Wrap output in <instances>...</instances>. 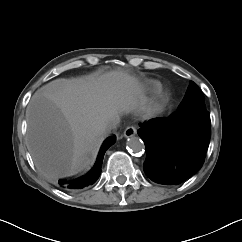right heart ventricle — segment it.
Segmentation results:
<instances>
[{"label":"right heart ventricle","instance_id":"obj_1","mask_svg":"<svg viewBox=\"0 0 242 242\" xmlns=\"http://www.w3.org/2000/svg\"><path fill=\"white\" fill-rule=\"evenodd\" d=\"M147 86L150 88H159L160 84L157 81L151 80L147 82Z\"/></svg>","mask_w":242,"mask_h":242}]
</instances>
